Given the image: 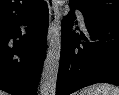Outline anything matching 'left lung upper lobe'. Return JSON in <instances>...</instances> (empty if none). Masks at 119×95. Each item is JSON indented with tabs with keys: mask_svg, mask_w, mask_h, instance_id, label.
Masks as SVG:
<instances>
[{
	"mask_svg": "<svg viewBox=\"0 0 119 95\" xmlns=\"http://www.w3.org/2000/svg\"><path fill=\"white\" fill-rule=\"evenodd\" d=\"M70 4L98 18L119 21V0H70Z\"/></svg>",
	"mask_w": 119,
	"mask_h": 95,
	"instance_id": "5c2ea615",
	"label": "left lung upper lobe"
}]
</instances>
